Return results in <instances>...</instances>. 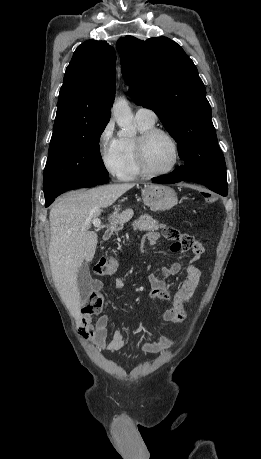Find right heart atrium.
Returning a JSON list of instances; mask_svg holds the SVG:
<instances>
[{
  "instance_id": "1",
  "label": "right heart atrium",
  "mask_w": 261,
  "mask_h": 459,
  "mask_svg": "<svg viewBox=\"0 0 261 459\" xmlns=\"http://www.w3.org/2000/svg\"><path fill=\"white\" fill-rule=\"evenodd\" d=\"M97 149L103 167L108 173L119 177L123 161L119 149V138L115 135L113 121H108L100 130L97 138Z\"/></svg>"
}]
</instances>
